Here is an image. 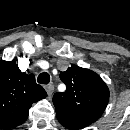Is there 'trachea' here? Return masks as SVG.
I'll use <instances>...</instances> for the list:
<instances>
[{
    "label": "trachea",
    "instance_id": "trachea-1",
    "mask_svg": "<svg viewBox=\"0 0 130 130\" xmlns=\"http://www.w3.org/2000/svg\"><path fill=\"white\" fill-rule=\"evenodd\" d=\"M37 81L40 84H48L50 82V75L47 72H43L38 76Z\"/></svg>",
    "mask_w": 130,
    "mask_h": 130
}]
</instances>
